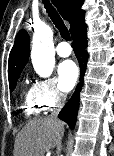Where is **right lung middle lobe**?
Returning <instances> with one entry per match:
<instances>
[{"label": "right lung middle lobe", "instance_id": "1", "mask_svg": "<svg viewBox=\"0 0 114 156\" xmlns=\"http://www.w3.org/2000/svg\"><path fill=\"white\" fill-rule=\"evenodd\" d=\"M20 75H16V76H13L11 78H9V83H10V90L13 91L14 88L16 87V83H17V80L19 78Z\"/></svg>", "mask_w": 114, "mask_h": 156}]
</instances>
